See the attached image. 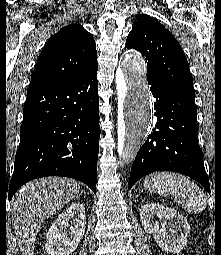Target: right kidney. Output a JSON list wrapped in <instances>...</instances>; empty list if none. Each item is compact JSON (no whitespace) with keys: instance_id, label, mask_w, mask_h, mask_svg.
Returning a JSON list of instances; mask_svg holds the SVG:
<instances>
[{"instance_id":"obj_1","label":"right kidney","mask_w":221,"mask_h":255,"mask_svg":"<svg viewBox=\"0 0 221 255\" xmlns=\"http://www.w3.org/2000/svg\"><path fill=\"white\" fill-rule=\"evenodd\" d=\"M85 208L75 202L60 213L46 235L45 249L48 255H70L85 233Z\"/></svg>"}]
</instances>
